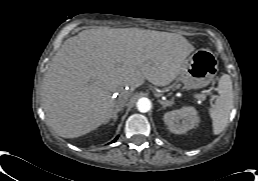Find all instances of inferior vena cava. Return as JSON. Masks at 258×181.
<instances>
[{"instance_id": "1", "label": "inferior vena cava", "mask_w": 258, "mask_h": 181, "mask_svg": "<svg viewBox=\"0 0 258 181\" xmlns=\"http://www.w3.org/2000/svg\"><path fill=\"white\" fill-rule=\"evenodd\" d=\"M129 96H130V94L126 92V93L123 94L122 96L118 97V98L116 99V101H115L116 106H117V107H123V106L126 104L128 98H129Z\"/></svg>"}]
</instances>
